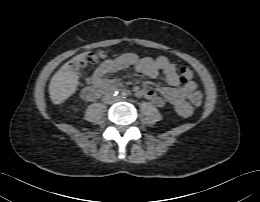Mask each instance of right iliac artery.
<instances>
[{
  "mask_svg": "<svg viewBox=\"0 0 260 202\" xmlns=\"http://www.w3.org/2000/svg\"><path fill=\"white\" fill-rule=\"evenodd\" d=\"M112 94H113V96H117L119 94V91L115 89V90H113Z\"/></svg>",
  "mask_w": 260,
  "mask_h": 202,
  "instance_id": "1",
  "label": "right iliac artery"
}]
</instances>
